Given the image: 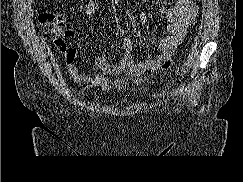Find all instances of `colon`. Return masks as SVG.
Wrapping results in <instances>:
<instances>
[{"label":"colon","mask_w":243,"mask_h":182,"mask_svg":"<svg viewBox=\"0 0 243 182\" xmlns=\"http://www.w3.org/2000/svg\"><path fill=\"white\" fill-rule=\"evenodd\" d=\"M39 21L43 26L46 34L51 37L55 45L65 54L70 52V49L65 40L66 37L70 36V32L64 29L62 15L55 12L46 11L39 15ZM170 66L171 60L168 58L161 62V67L163 69H168Z\"/></svg>","instance_id":"5ec220e1"}]
</instances>
